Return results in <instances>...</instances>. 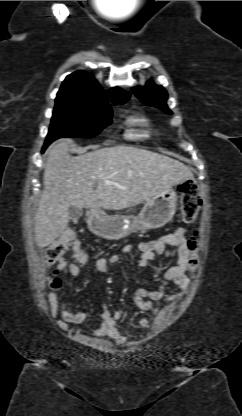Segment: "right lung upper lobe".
Returning a JSON list of instances; mask_svg holds the SVG:
<instances>
[{
  "mask_svg": "<svg viewBox=\"0 0 242 416\" xmlns=\"http://www.w3.org/2000/svg\"><path fill=\"white\" fill-rule=\"evenodd\" d=\"M129 94L118 87L104 92L92 75L84 71H76L63 81L56 101L68 102H108L127 101Z\"/></svg>",
  "mask_w": 242,
  "mask_h": 416,
  "instance_id": "right-lung-upper-lobe-1",
  "label": "right lung upper lobe"
}]
</instances>
